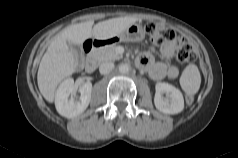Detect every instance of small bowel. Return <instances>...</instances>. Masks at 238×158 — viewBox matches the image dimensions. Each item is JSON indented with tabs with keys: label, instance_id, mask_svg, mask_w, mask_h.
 Instances as JSON below:
<instances>
[{
	"label": "small bowel",
	"instance_id": "1",
	"mask_svg": "<svg viewBox=\"0 0 238 158\" xmlns=\"http://www.w3.org/2000/svg\"><path fill=\"white\" fill-rule=\"evenodd\" d=\"M180 43L177 41L167 42L161 48V54L164 59L169 60L174 55ZM139 68L148 72L154 80L164 78L176 79L179 76V69L174 65H169L165 62L155 61L150 52L142 53L137 59Z\"/></svg>",
	"mask_w": 238,
	"mask_h": 158
}]
</instances>
